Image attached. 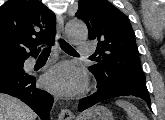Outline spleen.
<instances>
[{
	"instance_id": "3e777b00",
	"label": "spleen",
	"mask_w": 165,
	"mask_h": 120,
	"mask_svg": "<svg viewBox=\"0 0 165 120\" xmlns=\"http://www.w3.org/2000/svg\"><path fill=\"white\" fill-rule=\"evenodd\" d=\"M116 105L124 109L129 120H147V117L132 103L125 100H117Z\"/></svg>"
}]
</instances>
